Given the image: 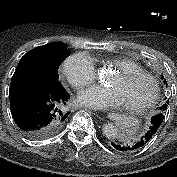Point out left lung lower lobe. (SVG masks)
I'll return each instance as SVG.
<instances>
[{
    "mask_svg": "<svg viewBox=\"0 0 177 177\" xmlns=\"http://www.w3.org/2000/svg\"><path fill=\"white\" fill-rule=\"evenodd\" d=\"M163 119H164V116H163L162 112L159 111L157 115L151 117V124L149 126V129L145 133V135L141 137V139H139L135 143H129V144L119 143V142L115 141V142L111 143L113 148H115L116 150L121 151V152H132V151H136V150L142 148L144 145H146L150 141V139L157 132Z\"/></svg>",
    "mask_w": 177,
    "mask_h": 177,
    "instance_id": "left-lung-lower-lobe-1",
    "label": "left lung lower lobe"
}]
</instances>
